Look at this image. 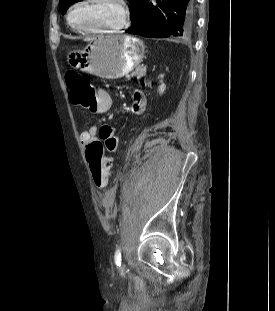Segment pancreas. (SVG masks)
I'll use <instances>...</instances> for the list:
<instances>
[{
  "label": "pancreas",
  "instance_id": "1",
  "mask_svg": "<svg viewBox=\"0 0 275 311\" xmlns=\"http://www.w3.org/2000/svg\"><path fill=\"white\" fill-rule=\"evenodd\" d=\"M145 73H146V68L140 66V67H138V68L136 69V71H134V72H133L130 76H128V77H133V76L142 77V76L145 75Z\"/></svg>",
  "mask_w": 275,
  "mask_h": 311
}]
</instances>
